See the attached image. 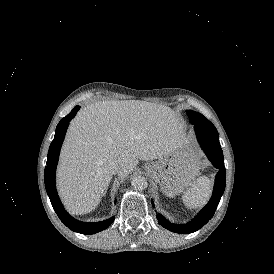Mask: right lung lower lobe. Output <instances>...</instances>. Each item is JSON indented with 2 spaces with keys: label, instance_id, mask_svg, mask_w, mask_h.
Wrapping results in <instances>:
<instances>
[{
  "label": "right lung lower lobe",
  "instance_id": "obj_1",
  "mask_svg": "<svg viewBox=\"0 0 274 274\" xmlns=\"http://www.w3.org/2000/svg\"><path fill=\"white\" fill-rule=\"evenodd\" d=\"M80 106L74 107V109L64 118L61 119L58 126L56 127V132L54 140L50 145L48 156H47V166L45 167L44 178L45 187L47 194L50 198L51 204L57 213L60 220L72 231L82 233V234H94L106 229L113 221L114 217H111L102 222L96 223H86L80 222L73 217H71L62 206L56 188H55V171L56 165L58 163L59 152L62 142L65 137V133L69 122L76 115Z\"/></svg>",
  "mask_w": 274,
  "mask_h": 274
}]
</instances>
